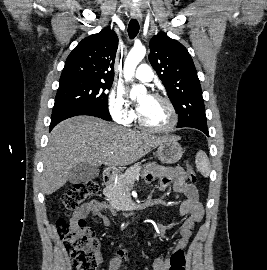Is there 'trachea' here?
Returning a JSON list of instances; mask_svg holds the SVG:
<instances>
[{"label":"trachea","instance_id":"1","mask_svg":"<svg viewBox=\"0 0 267 270\" xmlns=\"http://www.w3.org/2000/svg\"><path fill=\"white\" fill-rule=\"evenodd\" d=\"M139 32V23L136 19H131L128 25V34L131 39L135 38Z\"/></svg>","mask_w":267,"mask_h":270}]
</instances>
